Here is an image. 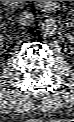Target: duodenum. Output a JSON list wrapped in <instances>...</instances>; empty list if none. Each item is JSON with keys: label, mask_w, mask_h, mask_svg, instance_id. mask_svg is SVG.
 Masks as SVG:
<instances>
[{"label": "duodenum", "mask_w": 74, "mask_h": 122, "mask_svg": "<svg viewBox=\"0 0 74 122\" xmlns=\"http://www.w3.org/2000/svg\"><path fill=\"white\" fill-rule=\"evenodd\" d=\"M11 5H20L22 1H7ZM39 7L44 12H51L55 10L56 3L55 1H39Z\"/></svg>", "instance_id": "obj_1"}]
</instances>
